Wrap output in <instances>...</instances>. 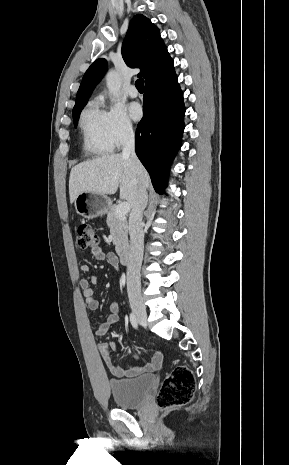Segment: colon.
<instances>
[{
    "instance_id": "colon-1",
    "label": "colon",
    "mask_w": 289,
    "mask_h": 465,
    "mask_svg": "<svg viewBox=\"0 0 289 465\" xmlns=\"http://www.w3.org/2000/svg\"><path fill=\"white\" fill-rule=\"evenodd\" d=\"M77 244L80 249L97 247L98 236L95 229L88 224L79 226ZM195 391V377L186 366H177L163 380L157 394L160 409L168 410L189 403Z\"/></svg>"
}]
</instances>
